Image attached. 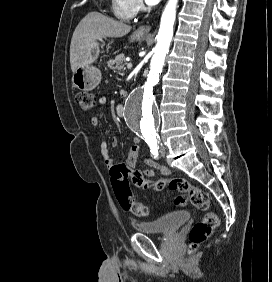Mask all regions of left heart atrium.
Here are the masks:
<instances>
[{
	"instance_id": "39dd6f15",
	"label": "left heart atrium",
	"mask_w": 272,
	"mask_h": 282,
	"mask_svg": "<svg viewBox=\"0 0 272 282\" xmlns=\"http://www.w3.org/2000/svg\"><path fill=\"white\" fill-rule=\"evenodd\" d=\"M160 0H145L146 4L153 6L156 5Z\"/></svg>"
}]
</instances>
